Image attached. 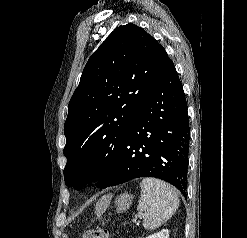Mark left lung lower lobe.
I'll list each match as a JSON object with an SVG mask.
<instances>
[{
	"mask_svg": "<svg viewBox=\"0 0 247 238\" xmlns=\"http://www.w3.org/2000/svg\"><path fill=\"white\" fill-rule=\"evenodd\" d=\"M189 130L183 87L168 57L160 78L129 129L106 187L139 177H155L185 194Z\"/></svg>",
	"mask_w": 247,
	"mask_h": 238,
	"instance_id": "0a47b994",
	"label": "left lung lower lobe"
}]
</instances>
